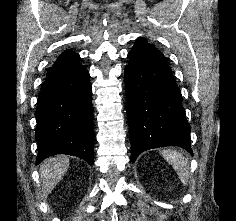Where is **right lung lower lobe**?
Listing matches in <instances>:
<instances>
[{
    "mask_svg": "<svg viewBox=\"0 0 236 221\" xmlns=\"http://www.w3.org/2000/svg\"><path fill=\"white\" fill-rule=\"evenodd\" d=\"M79 55L56 61L48 69L36 110V164L56 154L93 160L94 127L91 84Z\"/></svg>",
    "mask_w": 236,
    "mask_h": 221,
    "instance_id": "obj_1",
    "label": "right lung lower lobe"
}]
</instances>
